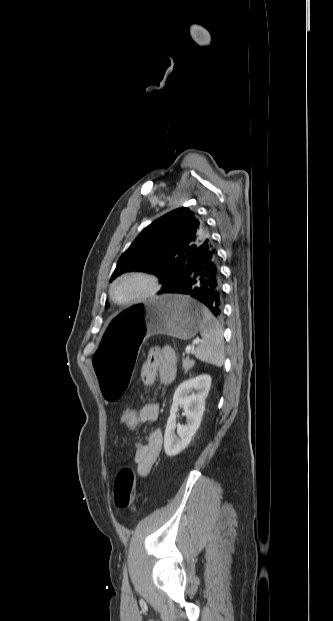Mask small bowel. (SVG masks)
<instances>
[{
    "instance_id": "small-bowel-1",
    "label": "small bowel",
    "mask_w": 333,
    "mask_h": 621,
    "mask_svg": "<svg viewBox=\"0 0 333 621\" xmlns=\"http://www.w3.org/2000/svg\"><path fill=\"white\" fill-rule=\"evenodd\" d=\"M177 373V355L170 347L152 348L143 364L141 378L144 384H151L155 378L164 384H171ZM159 408L154 403H149L140 409L139 424L133 429L139 428L145 423L157 419ZM163 444V435L160 430L150 432L143 443L135 446L134 462L139 476H147L156 462Z\"/></svg>"
}]
</instances>
